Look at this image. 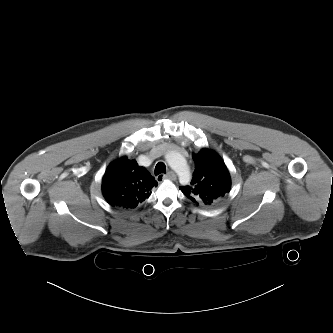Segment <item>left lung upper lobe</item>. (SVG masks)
I'll return each mask as SVG.
<instances>
[{"label":"left lung upper lobe","mask_w":333,"mask_h":333,"mask_svg":"<svg viewBox=\"0 0 333 333\" xmlns=\"http://www.w3.org/2000/svg\"><path fill=\"white\" fill-rule=\"evenodd\" d=\"M192 157L195 162L193 179L189 186H182L180 190L193 202L205 205L220 203L231 188L225 163L216 152L206 148Z\"/></svg>","instance_id":"5c2ea615"}]
</instances>
